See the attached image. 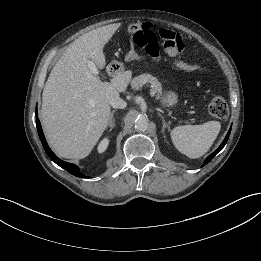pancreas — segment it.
<instances>
[{
	"mask_svg": "<svg viewBox=\"0 0 261 261\" xmlns=\"http://www.w3.org/2000/svg\"><path fill=\"white\" fill-rule=\"evenodd\" d=\"M150 84L151 93L156 94L157 98H160L162 94V86L158 79L150 74H142L135 77L132 80L131 86L135 90L141 89L145 84Z\"/></svg>",
	"mask_w": 261,
	"mask_h": 261,
	"instance_id": "pancreas-1",
	"label": "pancreas"
}]
</instances>
